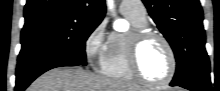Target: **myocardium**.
I'll return each mask as SVG.
<instances>
[{
	"instance_id": "1",
	"label": "myocardium",
	"mask_w": 220,
	"mask_h": 91,
	"mask_svg": "<svg viewBox=\"0 0 220 91\" xmlns=\"http://www.w3.org/2000/svg\"><path fill=\"white\" fill-rule=\"evenodd\" d=\"M159 39L166 47L170 57V71L166 78L161 81L147 79L140 70L139 53L142 45L150 39ZM127 62L130 72L135 80L147 87H162L167 85L174 78L177 70V58L169 40L161 33L144 29H134L127 37Z\"/></svg>"
}]
</instances>
